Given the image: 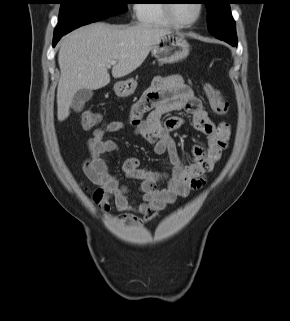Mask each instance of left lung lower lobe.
Listing matches in <instances>:
<instances>
[{
	"label": "left lung lower lobe",
	"mask_w": 290,
	"mask_h": 321,
	"mask_svg": "<svg viewBox=\"0 0 290 321\" xmlns=\"http://www.w3.org/2000/svg\"><path fill=\"white\" fill-rule=\"evenodd\" d=\"M218 39L223 40L230 44L231 46H236L237 45V35L236 33H231V34H225V35H220L216 36Z\"/></svg>",
	"instance_id": "obj_1"
}]
</instances>
